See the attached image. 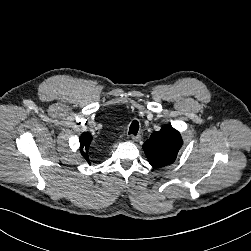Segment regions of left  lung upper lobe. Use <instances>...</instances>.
I'll return each instance as SVG.
<instances>
[{"label": "left lung upper lobe", "instance_id": "left-lung-upper-lobe-1", "mask_svg": "<svg viewBox=\"0 0 251 251\" xmlns=\"http://www.w3.org/2000/svg\"><path fill=\"white\" fill-rule=\"evenodd\" d=\"M180 133L170 125L153 132L143 144V150L149 163L155 168L172 164L182 146Z\"/></svg>", "mask_w": 251, "mask_h": 251}]
</instances>
